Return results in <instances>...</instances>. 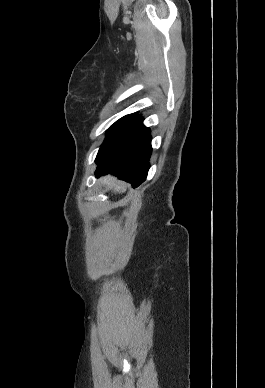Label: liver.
I'll use <instances>...</instances> for the list:
<instances>
[{
    "label": "liver",
    "instance_id": "6515ba94",
    "mask_svg": "<svg viewBox=\"0 0 265 388\" xmlns=\"http://www.w3.org/2000/svg\"><path fill=\"white\" fill-rule=\"evenodd\" d=\"M101 182L102 184H108V186H110V184H114V178H111V176H105ZM127 186L128 184L120 182L119 186H116L115 190H117V192H126Z\"/></svg>",
    "mask_w": 265,
    "mask_h": 388
}]
</instances>
